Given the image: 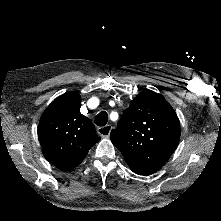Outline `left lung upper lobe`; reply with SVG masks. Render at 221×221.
<instances>
[{"label":"left lung upper lobe","instance_id":"left-lung-upper-lobe-1","mask_svg":"<svg viewBox=\"0 0 221 221\" xmlns=\"http://www.w3.org/2000/svg\"><path fill=\"white\" fill-rule=\"evenodd\" d=\"M110 137L134 173L150 175L158 171L176 149L180 122L161 94L144 90L124 111Z\"/></svg>","mask_w":221,"mask_h":221}]
</instances>
